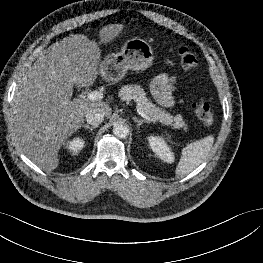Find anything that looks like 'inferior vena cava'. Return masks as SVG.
<instances>
[{"mask_svg":"<svg viewBox=\"0 0 263 263\" xmlns=\"http://www.w3.org/2000/svg\"><path fill=\"white\" fill-rule=\"evenodd\" d=\"M104 112L98 108L91 109L86 115V121L88 124L98 126L104 119Z\"/></svg>","mask_w":263,"mask_h":263,"instance_id":"obj_1","label":"inferior vena cava"}]
</instances>
